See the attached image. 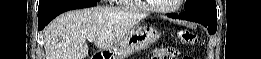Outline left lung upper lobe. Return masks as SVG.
<instances>
[{"label":"left lung upper lobe","mask_w":261,"mask_h":59,"mask_svg":"<svg viewBox=\"0 0 261 59\" xmlns=\"http://www.w3.org/2000/svg\"><path fill=\"white\" fill-rule=\"evenodd\" d=\"M185 10L217 14L215 0H186Z\"/></svg>","instance_id":"obj_1"}]
</instances>
